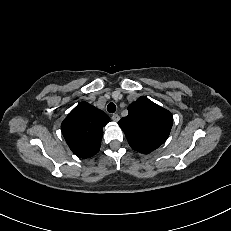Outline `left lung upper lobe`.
Masks as SVG:
<instances>
[{
	"label": "left lung upper lobe",
	"mask_w": 231,
	"mask_h": 231,
	"mask_svg": "<svg viewBox=\"0 0 231 231\" xmlns=\"http://www.w3.org/2000/svg\"><path fill=\"white\" fill-rule=\"evenodd\" d=\"M128 111L118 124L132 149L148 154L166 141L173 124L169 111L145 96L130 104Z\"/></svg>",
	"instance_id": "1"
}]
</instances>
